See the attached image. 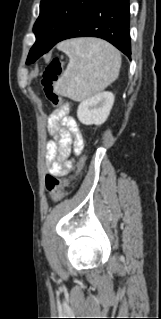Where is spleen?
Here are the masks:
<instances>
[{
  "instance_id": "spleen-1",
  "label": "spleen",
  "mask_w": 161,
  "mask_h": 319,
  "mask_svg": "<svg viewBox=\"0 0 161 319\" xmlns=\"http://www.w3.org/2000/svg\"><path fill=\"white\" fill-rule=\"evenodd\" d=\"M58 49L69 57L66 70L54 85V91L73 101H83L104 90L118 76L119 51L106 41L78 38L64 41Z\"/></svg>"
}]
</instances>
